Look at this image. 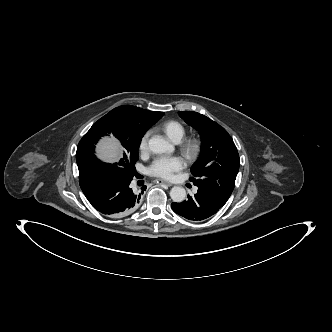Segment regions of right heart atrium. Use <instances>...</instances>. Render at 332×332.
<instances>
[{
	"instance_id": "right-heart-atrium-1",
	"label": "right heart atrium",
	"mask_w": 332,
	"mask_h": 332,
	"mask_svg": "<svg viewBox=\"0 0 332 332\" xmlns=\"http://www.w3.org/2000/svg\"><path fill=\"white\" fill-rule=\"evenodd\" d=\"M150 132H146L140 140L139 149L140 152L145 153L148 150V139Z\"/></svg>"
}]
</instances>
